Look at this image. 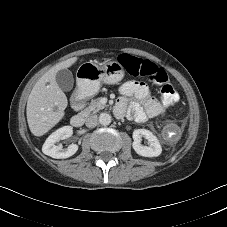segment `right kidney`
Masks as SVG:
<instances>
[{"instance_id":"ca27d5eb","label":"right kidney","mask_w":227,"mask_h":227,"mask_svg":"<svg viewBox=\"0 0 227 227\" xmlns=\"http://www.w3.org/2000/svg\"><path fill=\"white\" fill-rule=\"evenodd\" d=\"M73 133L71 126H63L53 132L45 141L42 147V152L52 158L64 159L74 155L78 150V145L71 144L66 149L62 145H55L60 140L69 138Z\"/></svg>"}]
</instances>
